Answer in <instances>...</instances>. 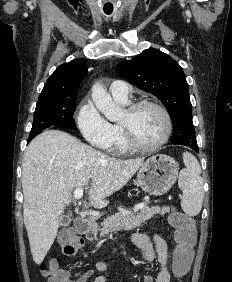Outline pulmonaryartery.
<instances>
[{
	"instance_id": "pulmonary-artery-1",
	"label": "pulmonary artery",
	"mask_w": 232,
	"mask_h": 282,
	"mask_svg": "<svg viewBox=\"0 0 232 282\" xmlns=\"http://www.w3.org/2000/svg\"><path fill=\"white\" fill-rule=\"evenodd\" d=\"M110 93L115 100L127 102L131 92L129 84L124 81L116 80L110 85Z\"/></svg>"
}]
</instances>
